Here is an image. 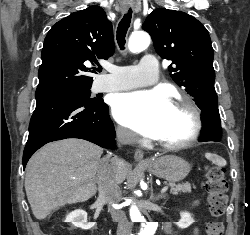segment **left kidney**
I'll return each instance as SVG.
<instances>
[{
    "label": "left kidney",
    "instance_id": "obj_1",
    "mask_svg": "<svg viewBox=\"0 0 250 235\" xmlns=\"http://www.w3.org/2000/svg\"><path fill=\"white\" fill-rule=\"evenodd\" d=\"M180 216H181V218L176 223V225L181 229H185V228L189 227L194 222V220L189 212H181Z\"/></svg>",
    "mask_w": 250,
    "mask_h": 235
}]
</instances>
